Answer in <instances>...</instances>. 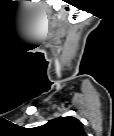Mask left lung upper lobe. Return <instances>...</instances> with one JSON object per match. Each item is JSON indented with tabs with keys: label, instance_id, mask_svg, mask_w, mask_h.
I'll list each match as a JSON object with an SVG mask.
<instances>
[{
	"label": "left lung upper lobe",
	"instance_id": "left-lung-upper-lobe-1",
	"mask_svg": "<svg viewBox=\"0 0 114 136\" xmlns=\"http://www.w3.org/2000/svg\"><path fill=\"white\" fill-rule=\"evenodd\" d=\"M38 136H84L83 124L75 117H59L34 128Z\"/></svg>",
	"mask_w": 114,
	"mask_h": 136
}]
</instances>
